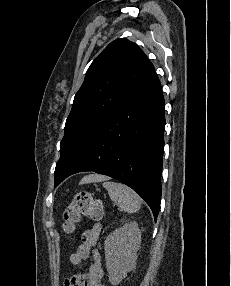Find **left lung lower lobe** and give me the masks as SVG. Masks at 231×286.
<instances>
[{
	"instance_id": "left-lung-lower-lobe-1",
	"label": "left lung lower lobe",
	"mask_w": 231,
	"mask_h": 286,
	"mask_svg": "<svg viewBox=\"0 0 231 286\" xmlns=\"http://www.w3.org/2000/svg\"><path fill=\"white\" fill-rule=\"evenodd\" d=\"M165 102L155 70L90 132L63 171H93L136 191L157 219L161 198Z\"/></svg>"
}]
</instances>
